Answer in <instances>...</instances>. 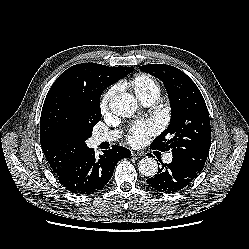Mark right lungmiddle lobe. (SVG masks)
<instances>
[{"label": "right lung middle lobe", "instance_id": "1", "mask_svg": "<svg viewBox=\"0 0 249 249\" xmlns=\"http://www.w3.org/2000/svg\"><path fill=\"white\" fill-rule=\"evenodd\" d=\"M112 79L119 80L133 71V67H110ZM103 89L84 91L60 81L50 88L41 116L56 134L71 138L80 150L91 137L93 127L101 119L100 97Z\"/></svg>", "mask_w": 249, "mask_h": 249}]
</instances>
